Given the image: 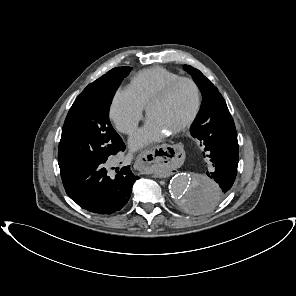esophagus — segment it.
<instances>
[{
  "label": "esophagus",
  "mask_w": 296,
  "mask_h": 296,
  "mask_svg": "<svg viewBox=\"0 0 296 296\" xmlns=\"http://www.w3.org/2000/svg\"><path fill=\"white\" fill-rule=\"evenodd\" d=\"M181 158L182 153L178 148L162 141L138 153L134 163L140 172L148 174L159 170H166L172 164L178 163Z\"/></svg>",
  "instance_id": "1"
}]
</instances>
